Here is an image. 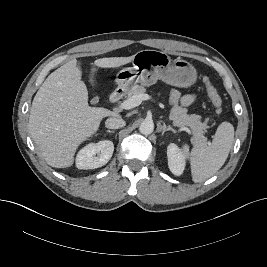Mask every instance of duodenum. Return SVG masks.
I'll return each mask as SVG.
<instances>
[{
  "label": "duodenum",
  "instance_id": "obj_1",
  "mask_svg": "<svg viewBox=\"0 0 267 267\" xmlns=\"http://www.w3.org/2000/svg\"><path fill=\"white\" fill-rule=\"evenodd\" d=\"M124 95V90L122 88L116 89L111 95H110V102L116 103L118 102Z\"/></svg>",
  "mask_w": 267,
  "mask_h": 267
}]
</instances>
